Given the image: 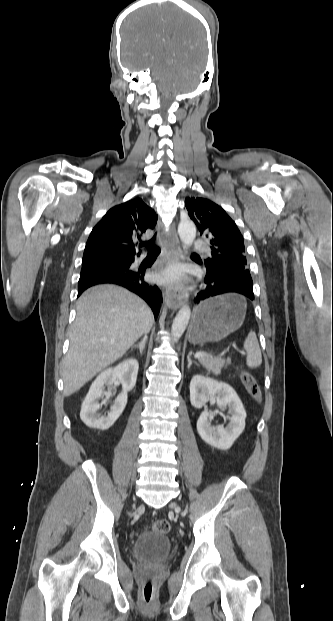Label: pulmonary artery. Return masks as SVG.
<instances>
[{"mask_svg": "<svg viewBox=\"0 0 333 621\" xmlns=\"http://www.w3.org/2000/svg\"><path fill=\"white\" fill-rule=\"evenodd\" d=\"M193 248L195 250H204L206 249V244L203 240L197 239L194 241Z\"/></svg>", "mask_w": 333, "mask_h": 621, "instance_id": "e3ab8cb5", "label": "pulmonary artery"}]
</instances>
